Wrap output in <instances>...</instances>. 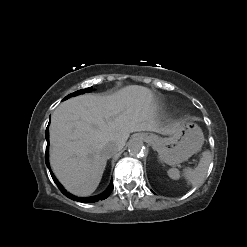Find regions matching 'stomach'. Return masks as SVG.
<instances>
[{
  "label": "stomach",
  "mask_w": 247,
  "mask_h": 247,
  "mask_svg": "<svg viewBox=\"0 0 247 247\" xmlns=\"http://www.w3.org/2000/svg\"><path fill=\"white\" fill-rule=\"evenodd\" d=\"M152 137V145L159 154V159L169 165L186 161L197 153L203 143L204 135L201 128L194 122L181 121L168 137Z\"/></svg>",
  "instance_id": "obj_1"
}]
</instances>
